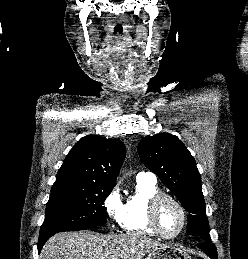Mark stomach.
<instances>
[{
	"label": "stomach",
	"instance_id": "1",
	"mask_svg": "<svg viewBox=\"0 0 248 259\" xmlns=\"http://www.w3.org/2000/svg\"><path fill=\"white\" fill-rule=\"evenodd\" d=\"M145 259H192L191 256L183 250L174 246L165 245L152 250Z\"/></svg>",
	"mask_w": 248,
	"mask_h": 259
}]
</instances>
